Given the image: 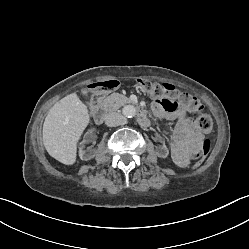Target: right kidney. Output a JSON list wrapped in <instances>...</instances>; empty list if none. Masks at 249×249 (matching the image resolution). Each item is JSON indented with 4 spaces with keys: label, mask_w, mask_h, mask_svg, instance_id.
<instances>
[{
    "label": "right kidney",
    "mask_w": 249,
    "mask_h": 249,
    "mask_svg": "<svg viewBox=\"0 0 249 249\" xmlns=\"http://www.w3.org/2000/svg\"><path fill=\"white\" fill-rule=\"evenodd\" d=\"M98 137V129L96 127H91L89 132L84 136L83 141L80 143L79 156L82 160H90L94 157L91 150H86L84 144L87 147H92L94 145V140Z\"/></svg>",
    "instance_id": "obj_1"
}]
</instances>
